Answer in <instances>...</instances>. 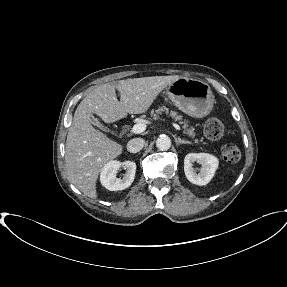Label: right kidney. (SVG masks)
<instances>
[{
    "mask_svg": "<svg viewBox=\"0 0 287 287\" xmlns=\"http://www.w3.org/2000/svg\"><path fill=\"white\" fill-rule=\"evenodd\" d=\"M123 167L126 170L123 178H117L119 169ZM136 164L132 161H110L104 165L100 174L101 184L110 191L124 190L134 181Z\"/></svg>",
    "mask_w": 287,
    "mask_h": 287,
    "instance_id": "1",
    "label": "right kidney"
}]
</instances>
